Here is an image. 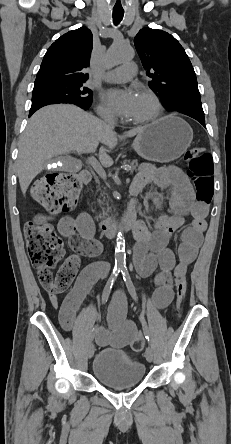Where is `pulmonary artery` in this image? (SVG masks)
Returning <instances> with one entry per match:
<instances>
[{
    "instance_id": "obj_1",
    "label": "pulmonary artery",
    "mask_w": 231,
    "mask_h": 444,
    "mask_svg": "<svg viewBox=\"0 0 231 444\" xmlns=\"http://www.w3.org/2000/svg\"><path fill=\"white\" fill-rule=\"evenodd\" d=\"M136 65L134 63H124L120 67L106 73L103 79L111 83H122L133 79L136 76Z\"/></svg>"
}]
</instances>
